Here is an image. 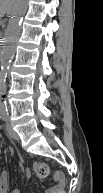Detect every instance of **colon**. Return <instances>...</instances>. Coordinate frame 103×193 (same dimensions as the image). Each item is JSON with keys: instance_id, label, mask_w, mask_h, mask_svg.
<instances>
[{"instance_id": "obj_1", "label": "colon", "mask_w": 103, "mask_h": 193, "mask_svg": "<svg viewBox=\"0 0 103 193\" xmlns=\"http://www.w3.org/2000/svg\"><path fill=\"white\" fill-rule=\"evenodd\" d=\"M34 167H35L36 174L39 178H46L50 175L51 170L47 163L37 162ZM56 178L61 180L62 179L61 174L57 173Z\"/></svg>"}]
</instances>
